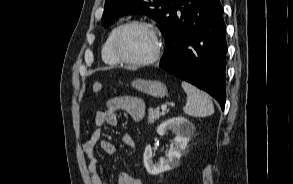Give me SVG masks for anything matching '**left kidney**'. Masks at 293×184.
<instances>
[{"instance_id":"1","label":"left kidney","mask_w":293,"mask_h":184,"mask_svg":"<svg viewBox=\"0 0 293 184\" xmlns=\"http://www.w3.org/2000/svg\"><path fill=\"white\" fill-rule=\"evenodd\" d=\"M171 129L176 133L174 143L171 145L167 158H160L158 163H153L152 148L147 145L144 151L143 160L146 171L151 175H158L173 169L180 160L182 152L185 150L190 137L194 134L195 126L185 117H173L161 123L157 127V133L164 135Z\"/></svg>"}]
</instances>
